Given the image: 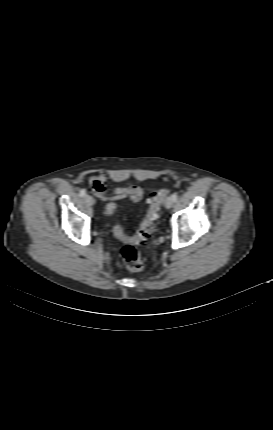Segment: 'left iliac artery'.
Listing matches in <instances>:
<instances>
[{"mask_svg":"<svg viewBox=\"0 0 273 430\" xmlns=\"http://www.w3.org/2000/svg\"><path fill=\"white\" fill-rule=\"evenodd\" d=\"M171 197L173 198L174 201H176L178 199V193L177 192L173 193Z\"/></svg>","mask_w":273,"mask_h":430,"instance_id":"obj_1","label":"left iliac artery"}]
</instances>
